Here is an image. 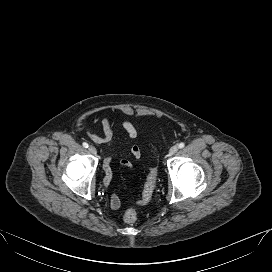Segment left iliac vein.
Here are the masks:
<instances>
[{
	"label": "left iliac vein",
	"mask_w": 272,
	"mask_h": 272,
	"mask_svg": "<svg viewBox=\"0 0 272 272\" xmlns=\"http://www.w3.org/2000/svg\"><path fill=\"white\" fill-rule=\"evenodd\" d=\"M178 149H179V147H178L177 145L172 146V147L170 148V150H169V154H170V155L176 154L177 151H178Z\"/></svg>",
	"instance_id": "1"
}]
</instances>
